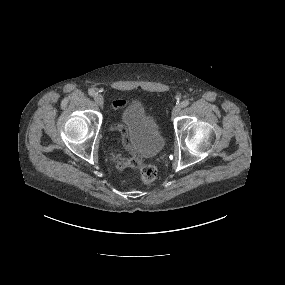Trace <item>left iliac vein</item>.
Wrapping results in <instances>:
<instances>
[{"instance_id": "left-iliac-vein-1", "label": "left iliac vein", "mask_w": 285, "mask_h": 285, "mask_svg": "<svg viewBox=\"0 0 285 285\" xmlns=\"http://www.w3.org/2000/svg\"><path fill=\"white\" fill-rule=\"evenodd\" d=\"M181 111V106L180 105H176L173 110H172V115L173 116H177Z\"/></svg>"}]
</instances>
